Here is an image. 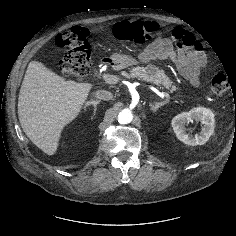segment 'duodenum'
<instances>
[{"instance_id":"1","label":"duodenum","mask_w":236,"mask_h":236,"mask_svg":"<svg viewBox=\"0 0 236 236\" xmlns=\"http://www.w3.org/2000/svg\"><path fill=\"white\" fill-rule=\"evenodd\" d=\"M100 64H101L102 66H111V65L114 64V61H113L112 59H110V58H104V59L100 62Z\"/></svg>"}]
</instances>
